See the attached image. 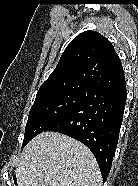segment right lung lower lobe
<instances>
[{
    "mask_svg": "<svg viewBox=\"0 0 138 186\" xmlns=\"http://www.w3.org/2000/svg\"><path fill=\"white\" fill-rule=\"evenodd\" d=\"M126 85L92 89L86 100L46 131L72 137L94 154L103 182L111 169L126 104Z\"/></svg>",
    "mask_w": 138,
    "mask_h": 186,
    "instance_id": "1",
    "label": "right lung lower lobe"
}]
</instances>
